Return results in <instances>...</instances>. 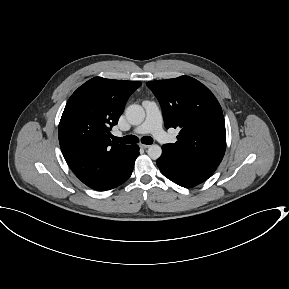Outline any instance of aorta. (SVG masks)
<instances>
[{
  "instance_id": "aorta-1",
  "label": "aorta",
  "mask_w": 289,
  "mask_h": 289,
  "mask_svg": "<svg viewBox=\"0 0 289 289\" xmlns=\"http://www.w3.org/2000/svg\"><path fill=\"white\" fill-rule=\"evenodd\" d=\"M125 114L127 120L133 125L141 124L145 118V111L143 107L138 104H132L128 106L126 108ZM147 153L151 159L156 160L161 156L162 149L159 145L153 144L149 146Z\"/></svg>"
}]
</instances>
